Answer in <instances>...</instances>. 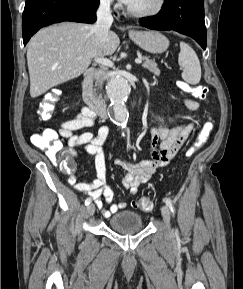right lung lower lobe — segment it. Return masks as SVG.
<instances>
[{"mask_svg":"<svg viewBox=\"0 0 243 289\" xmlns=\"http://www.w3.org/2000/svg\"><path fill=\"white\" fill-rule=\"evenodd\" d=\"M99 0H26L22 33L24 45L42 27L62 22L93 23Z\"/></svg>","mask_w":243,"mask_h":289,"instance_id":"obj_1","label":"right lung lower lobe"}]
</instances>
